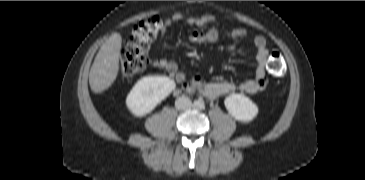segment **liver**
I'll list each match as a JSON object with an SVG mask.
<instances>
[{
	"instance_id": "1",
	"label": "liver",
	"mask_w": 365,
	"mask_h": 180,
	"mask_svg": "<svg viewBox=\"0 0 365 180\" xmlns=\"http://www.w3.org/2000/svg\"><path fill=\"white\" fill-rule=\"evenodd\" d=\"M121 47V35L113 33L98 51L89 73V84L94 93L107 90L116 80Z\"/></svg>"
}]
</instances>
